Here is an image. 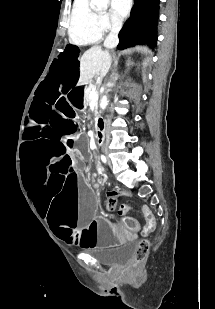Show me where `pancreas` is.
Instances as JSON below:
<instances>
[{
    "label": "pancreas",
    "instance_id": "pancreas-1",
    "mask_svg": "<svg viewBox=\"0 0 215 309\" xmlns=\"http://www.w3.org/2000/svg\"><path fill=\"white\" fill-rule=\"evenodd\" d=\"M96 84H98V82H95V80H90L89 86H85V90H84L85 104H89V102L91 100L90 92H91V90H93V88H96ZM97 108H98V106H97V104H95V112H98Z\"/></svg>",
    "mask_w": 215,
    "mask_h": 309
}]
</instances>
